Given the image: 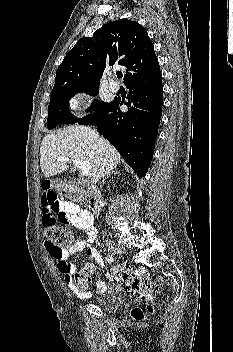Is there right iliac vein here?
<instances>
[{
  "label": "right iliac vein",
  "instance_id": "right-iliac-vein-1",
  "mask_svg": "<svg viewBox=\"0 0 233 352\" xmlns=\"http://www.w3.org/2000/svg\"><path fill=\"white\" fill-rule=\"evenodd\" d=\"M109 250L111 253L113 254H126L127 253V250L125 249L124 246L122 245H111L109 247Z\"/></svg>",
  "mask_w": 233,
  "mask_h": 352
}]
</instances>
